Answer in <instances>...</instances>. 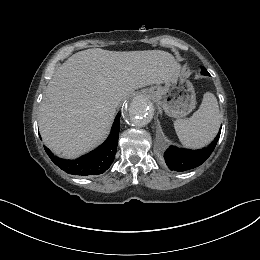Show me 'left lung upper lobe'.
I'll use <instances>...</instances> for the list:
<instances>
[{"mask_svg": "<svg viewBox=\"0 0 260 260\" xmlns=\"http://www.w3.org/2000/svg\"><path fill=\"white\" fill-rule=\"evenodd\" d=\"M203 75H209L208 71L202 67V72H201Z\"/></svg>", "mask_w": 260, "mask_h": 260, "instance_id": "left-lung-upper-lobe-1", "label": "left lung upper lobe"}]
</instances>
